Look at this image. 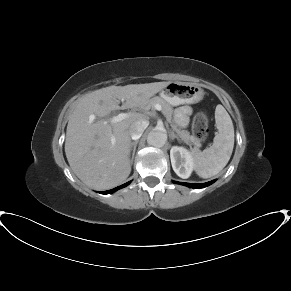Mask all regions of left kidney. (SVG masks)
<instances>
[{"mask_svg": "<svg viewBox=\"0 0 291 291\" xmlns=\"http://www.w3.org/2000/svg\"><path fill=\"white\" fill-rule=\"evenodd\" d=\"M171 164L174 172L181 178L190 177L194 168V158L184 147L173 146L170 150Z\"/></svg>", "mask_w": 291, "mask_h": 291, "instance_id": "obj_1", "label": "left kidney"}]
</instances>
